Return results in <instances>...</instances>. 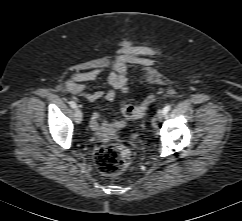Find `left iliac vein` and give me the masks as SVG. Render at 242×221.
<instances>
[{"label":"left iliac vein","mask_w":242,"mask_h":221,"mask_svg":"<svg viewBox=\"0 0 242 221\" xmlns=\"http://www.w3.org/2000/svg\"><path fill=\"white\" fill-rule=\"evenodd\" d=\"M164 116L163 110H158L155 118L153 119V126L156 127L157 126V121L162 119Z\"/></svg>","instance_id":"left-iliac-vein-1"}]
</instances>
